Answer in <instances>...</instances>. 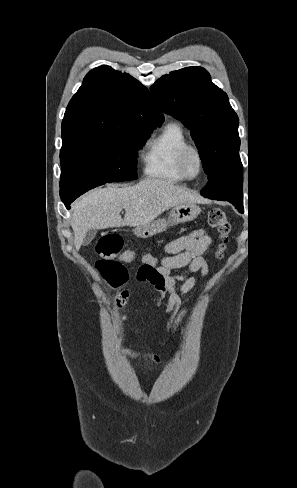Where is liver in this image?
I'll return each instance as SVG.
<instances>
[{
  "label": "liver",
  "mask_w": 297,
  "mask_h": 488,
  "mask_svg": "<svg viewBox=\"0 0 297 488\" xmlns=\"http://www.w3.org/2000/svg\"><path fill=\"white\" fill-rule=\"evenodd\" d=\"M201 198L173 183L146 178L134 186L119 188L108 185L96 188L73 205L71 226L74 245L80 249L89 229L140 226L150 223L165 210L183 203L199 202ZM125 209L122 219L120 212Z\"/></svg>",
  "instance_id": "obj_1"
}]
</instances>
